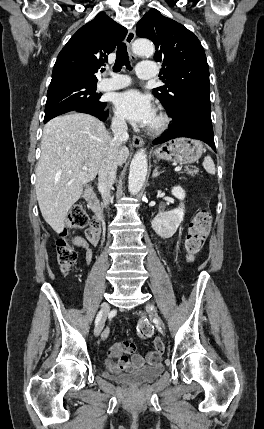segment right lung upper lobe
<instances>
[{
  "instance_id": "right-lung-upper-lobe-1",
  "label": "right lung upper lobe",
  "mask_w": 264,
  "mask_h": 429,
  "mask_svg": "<svg viewBox=\"0 0 264 429\" xmlns=\"http://www.w3.org/2000/svg\"><path fill=\"white\" fill-rule=\"evenodd\" d=\"M127 34L126 28L104 12L82 26L59 53L49 88L67 84H96V73Z\"/></svg>"
}]
</instances>
